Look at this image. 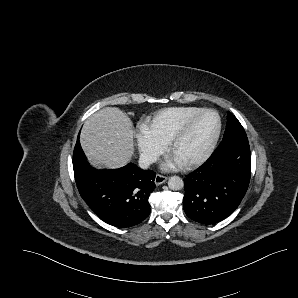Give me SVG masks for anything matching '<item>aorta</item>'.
<instances>
[{"label":"aorta","instance_id":"aorta-1","mask_svg":"<svg viewBox=\"0 0 298 298\" xmlns=\"http://www.w3.org/2000/svg\"><path fill=\"white\" fill-rule=\"evenodd\" d=\"M168 187L170 190H180L184 187V180L177 175L171 176L168 179Z\"/></svg>","mask_w":298,"mask_h":298}]
</instances>
